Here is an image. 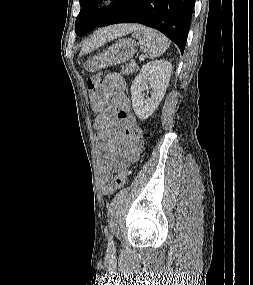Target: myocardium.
Here are the masks:
<instances>
[{
    "instance_id": "1",
    "label": "myocardium",
    "mask_w": 253,
    "mask_h": 285,
    "mask_svg": "<svg viewBox=\"0 0 253 285\" xmlns=\"http://www.w3.org/2000/svg\"><path fill=\"white\" fill-rule=\"evenodd\" d=\"M117 3V0H97L96 6L98 9H109Z\"/></svg>"
}]
</instances>
